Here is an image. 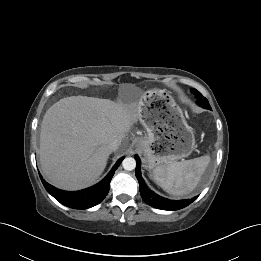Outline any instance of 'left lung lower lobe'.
<instances>
[{
  "label": "left lung lower lobe",
  "instance_id": "obj_1",
  "mask_svg": "<svg viewBox=\"0 0 261 261\" xmlns=\"http://www.w3.org/2000/svg\"><path fill=\"white\" fill-rule=\"evenodd\" d=\"M135 159L137 162L135 173H136V178L139 181L140 194H141L143 200L148 205H150L154 208L162 209V210L173 211V210L182 209V208L188 206L197 198V197H194L192 199L174 201V200H169V199H166V198H163V197L157 195L156 193H154L153 191H151L150 189L147 188V186L144 183V180L141 176V170H140L141 161L137 155H135Z\"/></svg>",
  "mask_w": 261,
  "mask_h": 261
}]
</instances>
